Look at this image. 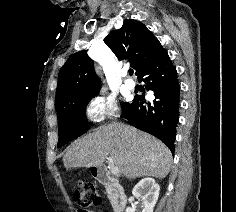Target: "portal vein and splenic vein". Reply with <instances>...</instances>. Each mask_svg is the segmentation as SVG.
Returning <instances> with one entry per match:
<instances>
[{
    "label": "portal vein and splenic vein",
    "instance_id": "18ae733b",
    "mask_svg": "<svg viewBox=\"0 0 236 212\" xmlns=\"http://www.w3.org/2000/svg\"><path fill=\"white\" fill-rule=\"evenodd\" d=\"M107 160H108V163H109V165H110L109 168H110L111 174L117 176V175L119 174V169H118V167H115V166L113 165V161H112V159H111L110 157H107Z\"/></svg>",
    "mask_w": 236,
    "mask_h": 212
}]
</instances>
